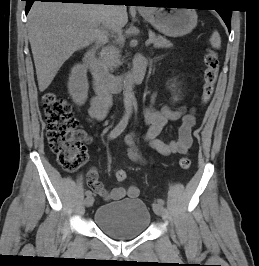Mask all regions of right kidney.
<instances>
[{"mask_svg": "<svg viewBox=\"0 0 259 266\" xmlns=\"http://www.w3.org/2000/svg\"><path fill=\"white\" fill-rule=\"evenodd\" d=\"M67 87L73 102L78 106L84 105L88 98L89 89L85 65L76 64L71 69Z\"/></svg>", "mask_w": 259, "mask_h": 266, "instance_id": "ca27d5eb", "label": "right kidney"}]
</instances>
